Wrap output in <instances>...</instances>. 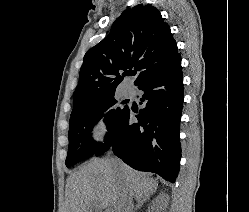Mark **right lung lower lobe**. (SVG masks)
<instances>
[{"label": "right lung lower lobe", "instance_id": "right-lung-lower-lobe-1", "mask_svg": "<svg viewBox=\"0 0 249 212\" xmlns=\"http://www.w3.org/2000/svg\"><path fill=\"white\" fill-rule=\"evenodd\" d=\"M145 108L134 115L127 107L108 133L96 156L112 150L126 164L159 174L171 183L179 172L180 118L183 107V74L180 54L138 86ZM137 117L138 123L132 119Z\"/></svg>", "mask_w": 249, "mask_h": 212}]
</instances>
